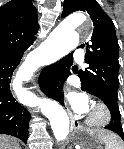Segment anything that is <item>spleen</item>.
<instances>
[{
    "mask_svg": "<svg viewBox=\"0 0 124 149\" xmlns=\"http://www.w3.org/2000/svg\"><path fill=\"white\" fill-rule=\"evenodd\" d=\"M105 149H120V141L115 139L105 138Z\"/></svg>",
    "mask_w": 124,
    "mask_h": 149,
    "instance_id": "spleen-1",
    "label": "spleen"
}]
</instances>
